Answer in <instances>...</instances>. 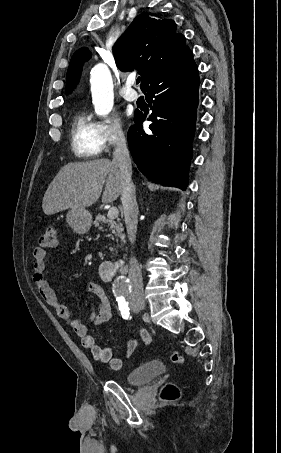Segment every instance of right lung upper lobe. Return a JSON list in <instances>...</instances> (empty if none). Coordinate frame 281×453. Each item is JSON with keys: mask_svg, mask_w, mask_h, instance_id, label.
Masks as SVG:
<instances>
[{"mask_svg": "<svg viewBox=\"0 0 281 453\" xmlns=\"http://www.w3.org/2000/svg\"><path fill=\"white\" fill-rule=\"evenodd\" d=\"M176 29L171 19H158L147 12L138 15L114 45L118 68L121 71L138 70L143 90L148 81L190 51L185 45V37ZM90 57L85 48L73 55L67 72L66 93L75 87L82 63Z\"/></svg>", "mask_w": 281, "mask_h": 453, "instance_id": "right-lung-upper-lobe-1", "label": "right lung upper lobe"}]
</instances>
